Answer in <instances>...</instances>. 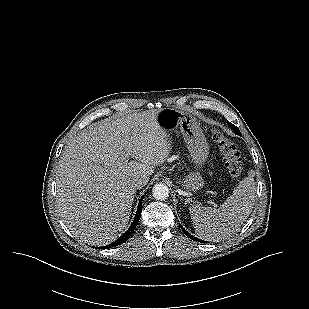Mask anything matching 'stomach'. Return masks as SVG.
<instances>
[{
    "instance_id": "obj_1",
    "label": "stomach",
    "mask_w": 309,
    "mask_h": 309,
    "mask_svg": "<svg viewBox=\"0 0 309 309\" xmlns=\"http://www.w3.org/2000/svg\"><path fill=\"white\" fill-rule=\"evenodd\" d=\"M156 121L167 134L176 132L178 129L182 133L191 160L198 171L189 173L184 179L179 180V183L187 190L201 189L204 179L199 170L206 162L209 148L200 124L190 114L173 108L159 110Z\"/></svg>"
}]
</instances>
